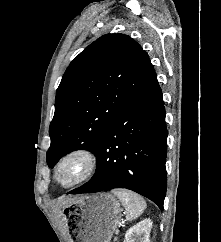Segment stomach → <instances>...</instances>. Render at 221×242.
I'll return each mask as SVG.
<instances>
[{"mask_svg":"<svg viewBox=\"0 0 221 242\" xmlns=\"http://www.w3.org/2000/svg\"><path fill=\"white\" fill-rule=\"evenodd\" d=\"M66 209L71 242H110L121 220L120 203L110 193L74 198Z\"/></svg>","mask_w":221,"mask_h":242,"instance_id":"0dacf381","label":"stomach"}]
</instances>
